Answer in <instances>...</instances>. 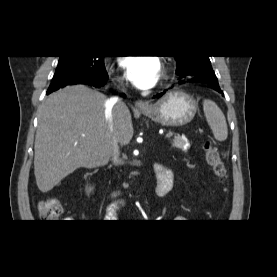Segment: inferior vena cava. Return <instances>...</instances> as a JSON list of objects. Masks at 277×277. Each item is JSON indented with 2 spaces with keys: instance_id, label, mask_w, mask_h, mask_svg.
I'll return each instance as SVG.
<instances>
[{
  "instance_id": "602c4592",
  "label": "inferior vena cava",
  "mask_w": 277,
  "mask_h": 277,
  "mask_svg": "<svg viewBox=\"0 0 277 277\" xmlns=\"http://www.w3.org/2000/svg\"><path fill=\"white\" fill-rule=\"evenodd\" d=\"M115 106L118 108H123L126 105L119 99L118 96L112 97L106 101L105 119H106L107 123L109 124L110 132H113L112 111ZM112 161H113L114 165H118L120 163L119 149H118V146H117V143L115 140H114V153H113Z\"/></svg>"
}]
</instances>
